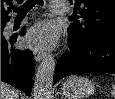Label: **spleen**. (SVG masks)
<instances>
[{"label":"spleen","mask_w":115,"mask_h":99,"mask_svg":"<svg viewBox=\"0 0 115 99\" xmlns=\"http://www.w3.org/2000/svg\"><path fill=\"white\" fill-rule=\"evenodd\" d=\"M112 96L115 98V85H113L112 91H111Z\"/></svg>","instance_id":"obj_1"}]
</instances>
